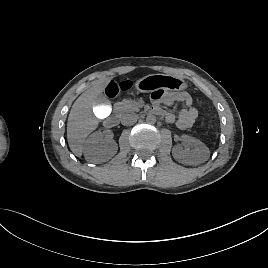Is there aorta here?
<instances>
[{"mask_svg":"<svg viewBox=\"0 0 268 268\" xmlns=\"http://www.w3.org/2000/svg\"><path fill=\"white\" fill-rule=\"evenodd\" d=\"M146 122L149 124H155L156 123V116L153 114H148L146 117Z\"/></svg>","mask_w":268,"mask_h":268,"instance_id":"762f6f07","label":"aorta"}]
</instances>
